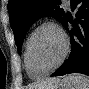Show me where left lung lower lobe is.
Listing matches in <instances>:
<instances>
[{"label":"left lung lower lobe","mask_w":89,"mask_h":89,"mask_svg":"<svg viewBox=\"0 0 89 89\" xmlns=\"http://www.w3.org/2000/svg\"><path fill=\"white\" fill-rule=\"evenodd\" d=\"M71 10L75 11V19L64 16L62 24L68 29L71 23V53L69 58L52 76L69 73L89 75V0H71Z\"/></svg>","instance_id":"left-lung-lower-lobe-1"}]
</instances>
